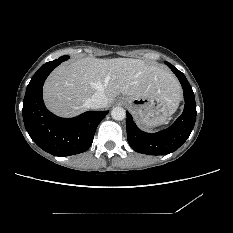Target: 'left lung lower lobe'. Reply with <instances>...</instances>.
Segmentation results:
<instances>
[{"label":"left lung lower lobe","mask_w":233,"mask_h":233,"mask_svg":"<svg viewBox=\"0 0 233 233\" xmlns=\"http://www.w3.org/2000/svg\"><path fill=\"white\" fill-rule=\"evenodd\" d=\"M178 77L185 99L182 115L169 128L157 132L146 133L137 128L132 116L127 112V139L132 149L147 155H164L177 150L189 137L196 120L195 97L184 74L170 63H166Z\"/></svg>","instance_id":"obj_1"}]
</instances>
